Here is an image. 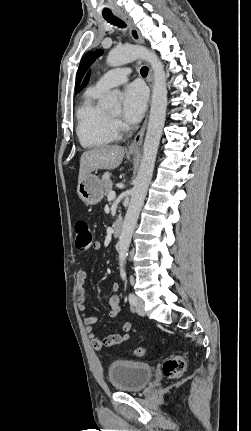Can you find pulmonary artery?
I'll return each instance as SVG.
<instances>
[{
  "mask_svg": "<svg viewBox=\"0 0 251 431\" xmlns=\"http://www.w3.org/2000/svg\"><path fill=\"white\" fill-rule=\"evenodd\" d=\"M130 75L128 68L113 69L101 76L95 83L94 87L106 91L112 87L119 86L127 82Z\"/></svg>",
  "mask_w": 251,
  "mask_h": 431,
  "instance_id": "pulmonary-artery-1",
  "label": "pulmonary artery"
}]
</instances>
